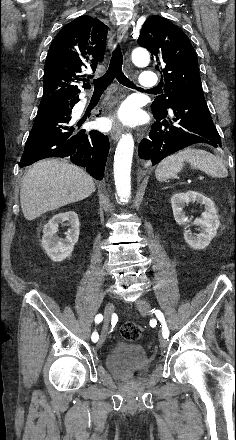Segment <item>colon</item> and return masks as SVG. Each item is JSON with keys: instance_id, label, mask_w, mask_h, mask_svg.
Listing matches in <instances>:
<instances>
[{"instance_id": "1", "label": "colon", "mask_w": 236, "mask_h": 440, "mask_svg": "<svg viewBox=\"0 0 236 440\" xmlns=\"http://www.w3.org/2000/svg\"><path fill=\"white\" fill-rule=\"evenodd\" d=\"M142 327L133 322L125 323L121 328L122 336L128 341H136L142 334Z\"/></svg>"}]
</instances>
